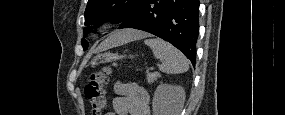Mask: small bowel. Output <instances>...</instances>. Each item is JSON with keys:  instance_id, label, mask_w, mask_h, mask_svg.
I'll list each match as a JSON object with an SVG mask.
<instances>
[{"instance_id": "1", "label": "small bowel", "mask_w": 285, "mask_h": 115, "mask_svg": "<svg viewBox=\"0 0 285 115\" xmlns=\"http://www.w3.org/2000/svg\"><path fill=\"white\" fill-rule=\"evenodd\" d=\"M114 90L118 95L112 101L113 111L107 115H150V96L143 87L117 81Z\"/></svg>"}]
</instances>
